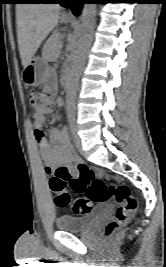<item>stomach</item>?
<instances>
[{"label":"stomach","instance_id":"stomach-1","mask_svg":"<svg viewBox=\"0 0 166 267\" xmlns=\"http://www.w3.org/2000/svg\"><path fill=\"white\" fill-rule=\"evenodd\" d=\"M49 72L47 62L39 57H34L23 69L22 80L27 86H38L46 82Z\"/></svg>","mask_w":166,"mask_h":267}]
</instances>
